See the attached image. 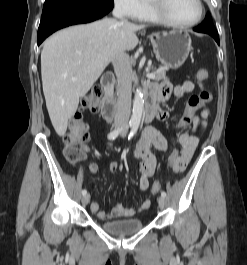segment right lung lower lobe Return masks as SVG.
Segmentation results:
<instances>
[{"label": "right lung lower lobe", "mask_w": 247, "mask_h": 265, "mask_svg": "<svg viewBox=\"0 0 247 265\" xmlns=\"http://www.w3.org/2000/svg\"><path fill=\"white\" fill-rule=\"evenodd\" d=\"M112 8L113 0H46L38 29V45L53 32L99 19Z\"/></svg>", "instance_id": "1"}]
</instances>
